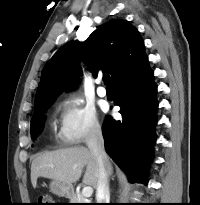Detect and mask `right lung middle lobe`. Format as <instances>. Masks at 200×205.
Listing matches in <instances>:
<instances>
[{"label": "right lung middle lobe", "instance_id": "right-lung-middle-lobe-1", "mask_svg": "<svg viewBox=\"0 0 200 205\" xmlns=\"http://www.w3.org/2000/svg\"><path fill=\"white\" fill-rule=\"evenodd\" d=\"M55 99H49L40 104L35 115L31 120V136L32 138L36 137L37 133H41L43 123H44V114L47 109L51 106Z\"/></svg>", "mask_w": 200, "mask_h": 205}]
</instances>
